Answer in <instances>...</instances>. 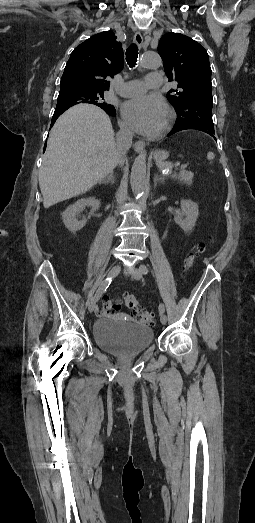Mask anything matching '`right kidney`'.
<instances>
[{
  "label": "right kidney",
  "mask_w": 255,
  "mask_h": 523,
  "mask_svg": "<svg viewBox=\"0 0 255 523\" xmlns=\"http://www.w3.org/2000/svg\"><path fill=\"white\" fill-rule=\"evenodd\" d=\"M85 206H91L92 212H95V210H99L100 202L96 198H82V200H78V202H75V204H72L63 212V222L70 232H77V230H81L85 226L86 218H83L80 222L77 220L78 214L85 210Z\"/></svg>",
  "instance_id": "ca27d5eb"
}]
</instances>
